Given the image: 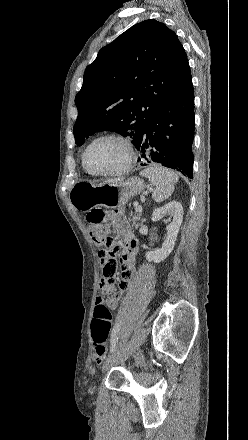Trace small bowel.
<instances>
[{
  "label": "small bowel",
  "instance_id": "1",
  "mask_svg": "<svg viewBox=\"0 0 248 440\" xmlns=\"http://www.w3.org/2000/svg\"><path fill=\"white\" fill-rule=\"evenodd\" d=\"M113 221L116 227L124 231L125 247L122 258L106 257L101 260V278H99L100 290L107 298L99 296L96 298L100 303H104L109 309L115 310L118 307L123 291L128 287L131 275L135 269V257L138 251V241L131 234L126 225L122 211L113 214ZM120 291L115 292L118 286Z\"/></svg>",
  "mask_w": 248,
  "mask_h": 440
}]
</instances>
